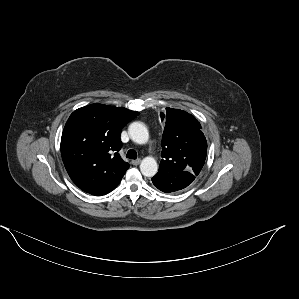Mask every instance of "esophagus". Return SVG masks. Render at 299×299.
Masks as SVG:
<instances>
[{
    "instance_id": "obj_1",
    "label": "esophagus",
    "mask_w": 299,
    "mask_h": 299,
    "mask_svg": "<svg viewBox=\"0 0 299 299\" xmlns=\"http://www.w3.org/2000/svg\"><path fill=\"white\" fill-rule=\"evenodd\" d=\"M140 162H141V159H140V158H139V159H136V160H132V161H131V163H132L133 165H135V166L139 165V164H140Z\"/></svg>"
}]
</instances>
